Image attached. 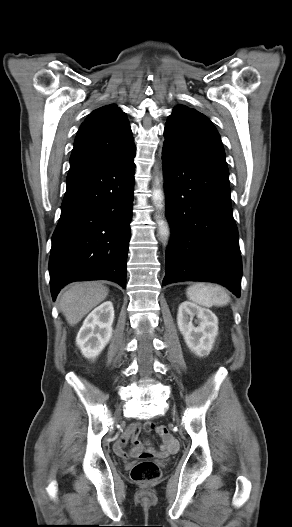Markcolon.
I'll list each match as a JSON object with an SVG mask.
<instances>
[{
    "mask_svg": "<svg viewBox=\"0 0 292 527\" xmlns=\"http://www.w3.org/2000/svg\"><path fill=\"white\" fill-rule=\"evenodd\" d=\"M145 430L153 428L152 423H145L143 425ZM168 434V433H167ZM144 460L136 463L131 470V478L139 483H152L160 477L159 467L153 462Z\"/></svg>",
    "mask_w": 292,
    "mask_h": 527,
    "instance_id": "obj_1",
    "label": "colon"
}]
</instances>
